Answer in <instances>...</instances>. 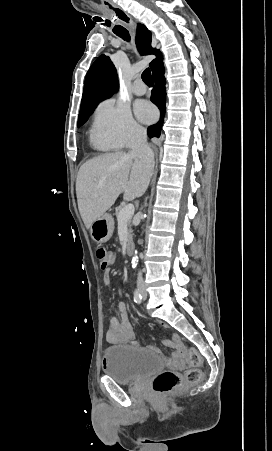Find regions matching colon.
<instances>
[{
    "label": "colon",
    "instance_id": "obj_1",
    "mask_svg": "<svg viewBox=\"0 0 272 451\" xmlns=\"http://www.w3.org/2000/svg\"><path fill=\"white\" fill-rule=\"evenodd\" d=\"M99 266L106 269L110 266L113 255L104 248H98L96 252ZM201 360L197 353L191 348H181L180 352L173 357V369L162 371L153 379V389L160 394L171 393L179 386H189L198 382L202 373L198 365Z\"/></svg>",
    "mask_w": 272,
    "mask_h": 451
}]
</instances>
